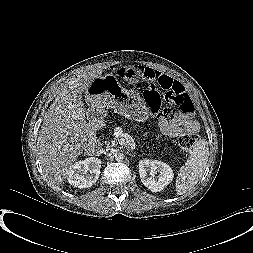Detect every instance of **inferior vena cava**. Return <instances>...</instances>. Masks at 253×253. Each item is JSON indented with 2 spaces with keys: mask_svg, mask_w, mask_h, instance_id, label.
<instances>
[{
  "mask_svg": "<svg viewBox=\"0 0 253 253\" xmlns=\"http://www.w3.org/2000/svg\"><path fill=\"white\" fill-rule=\"evenodd\" d=\"M113 149L107 148L106 150H104L105 154H110L112 153Z\"/></svg>",
  "mask_w": 253,
  "mask_h": 253,
  "instance_id": "obj_1",
  "label": "inferior vena cava"
}]
</instances>
